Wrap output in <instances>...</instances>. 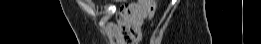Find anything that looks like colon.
<instances>
[{"instance_id":"obj_1","label":"colon","mask_w":261,"mask_h":44,"mask_svg":"<svg viewBox=\"0 0 261 44\" xmlns=\"http://www.w3.org/2000/svg\"><path fill=\"white\" fill-rule=\"evenodd\" d=\"M144 3L147 9V16L149 20H152L156 10V1L155 0H140ZM128 4H125L124 7H127ZM130 5H133V2H130Z\"/></svg>"}]
</instances>
